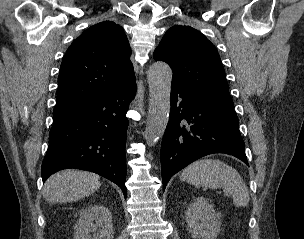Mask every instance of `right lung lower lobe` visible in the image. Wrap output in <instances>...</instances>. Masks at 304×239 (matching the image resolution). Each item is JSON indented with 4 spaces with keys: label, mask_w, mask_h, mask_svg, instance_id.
Returning a JSON list of instances; mask_svg holds the SVG:
<instances>
[{
    "label": "right lung lower lobe",
    "mask_w": 304,
    "mask_h": 239,
    "mask_svg": "<svg viewBox=\"0 0 304 239\" xmlns=\"http://www.w3.org/2000/svg\"><path fill=\"white\" fill-rule=\"evenodd\" d=\"M135 93L134 77L82 105L53 114L41 168L43 181L62 169H82L111 180L126 197V113Z\"/></svg>",
    "instance_id": "98d812e1"
}]
</instances>
